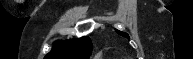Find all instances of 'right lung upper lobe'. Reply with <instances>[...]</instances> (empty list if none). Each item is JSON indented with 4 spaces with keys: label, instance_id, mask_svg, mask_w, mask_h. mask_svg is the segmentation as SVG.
I'll return each instance as SVG.
<instances>
[{
    "label": "right lung upper lobe",
    "instance_id": "1",
    "mask_svg": "<svg viewBox=\"0 0 193 59\" xmlns=\"http://www.w3.org/2000/svg\"><path fill=\"white\" fill-rule=\"evenodd\" d=\"M92 52L89 37L78 40L57 41L45 59H87Z\"/></svg>",
    "mask_w": 193,
    "mask_h": 59
}]
</instances>
